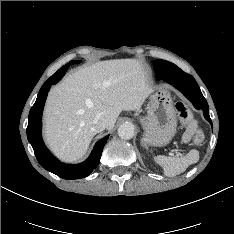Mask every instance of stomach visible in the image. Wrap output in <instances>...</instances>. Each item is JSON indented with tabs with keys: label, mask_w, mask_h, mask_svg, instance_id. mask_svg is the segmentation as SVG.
Instances as JSON below:
<instances>
[{
	"label": "stomach",
	"mask_w": 234,
	"mask_h": 234,
	"mask_svg": "<svg viewBox=\"0 0 234 234\" xmlns=\"http://www.w3.org/2000/svg\"><path fill=\"white\" fill-rule=\"evenodd\" d=\"M144 146H165L176 133L177 115L168 88H159L151 96L147 116L140 118Z\"/></svg>",
	"instance_id": "1"
}]
</instances>
